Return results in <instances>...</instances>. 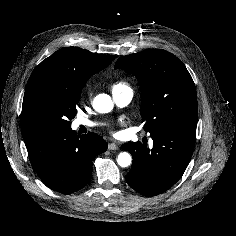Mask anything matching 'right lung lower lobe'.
Instances as JSON below:
<instances>
[{"instance_id":"right-lung-lower-lobe-1","label":"right lung lower lobe","mask_w":236,"mask_h":236,"mask_svg":"<svg viewBox=\"0 0 236 236\" xmlns=\"http://www.w3.org/2000/svg\"><path fill=\"white\" fill-rule=\"evenodd\" d=\"M23 139L42 182L63 194L87 185L92 176V161L107 150L106 141L96 133L80 137L72 129L30 134Z\"/></svg>"}]
</instances>
